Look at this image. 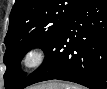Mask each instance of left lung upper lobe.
Listing matches in <instances>:
<instances>
[{
	"mask_svg": "<svg viewBox=\"0 0 107 89\" xmlns=\"http://www.w3.org/2000/svg\"><path fill=\"white\" fill-rule=\"evenodd\" d=\"M84 0H16L9 16L3 62L6 89H15L26 77L20 61L30 49L45 50Z\"/></svg>",
	"mask_w": 107,
	"mask_h": 89,
	"instance_id": "obj_1",
	"label": "left lung upper lobe"
}]
</instances>
